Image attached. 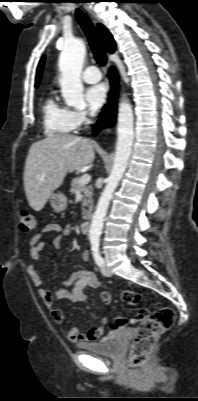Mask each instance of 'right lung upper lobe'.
I'll return each instance as SVG.
<instances>
[{"label":"right lung upper lobe","instance_id":"obj_1","mask_svg":"<svg viewBox=\"0 0 198 401\" xmlns=\"http://www.w3.org/2000/svg\"><path fill=\"white\" fill-rule=\"evenodd\" d=\"M97 28H98L99 34L102 38L105 49L110 53L114 52L115 42H114V39H113L112 35L110 34V32L102 24H98ZM43 65H44V57H42V59L40 60L38 68H37V75H36V82H35L36 87H38V85L40 84V81H41Z\"/></svg>","mask_w":198,"mask_h":401}]
</instances>
